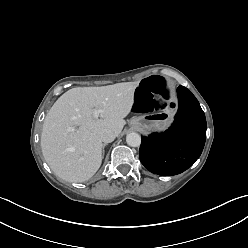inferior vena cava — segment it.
<instances>
[{
    "label": "inferior vena cava",
    "instance_id": "1",
    "mask_svg": "<svg viewBox=\"0 0 248 248\" xmlns=\"http://www.w3.org/2000/svg\"><path fill=\"white\" fill-rule=\"evenodd\" d=\"M116 136L117 135L114 131H112L111 129H107V128L101 130L99 133V139L105 143H110L114 141Z\"/></svg>",
    "mask_w": 248,
    "mask_h": 248
}]
</instances>
